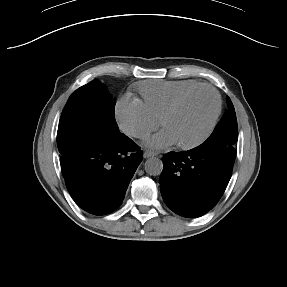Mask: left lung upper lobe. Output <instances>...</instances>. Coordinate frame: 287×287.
I'll return each mask as SVG.
<instances>
[{"label": "left lung upper lobe", "mask_w": 287, "mask_h": 287, "mask_svg": "<svg viewBox=\"0 0 287 287\" xmlns=\"http://www.w3.org/2000/svg\"><path fill=\"white\" fill-rule=\"evenodd\" d=\"M228 110L222 117L221 121L215 127L210 137L201 145L215 151L229 164L233 165L236 155V142L238 139V127L234 106L227 99Z\"/></svg>", "instance_id": "obj_1"}]
</instances>
